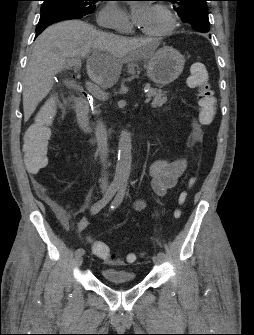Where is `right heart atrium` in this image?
Returning a JSON list of instances; mask_svg holds the SVG:
<instances>
[{
    "instance_id": "right-heart-atrium-1",
    "label": "right heart atrium",
    "mask_w": 254,
    "mask_h": 335,
    "mask_svg": "<svg viewBox=\"0 0 254 335\" xmlns=\"http://www.w3.org/2000/svg\"><path fill=\"white\" fill-rule=\"evenodd\" d=\"M97 22L105 27L126 32L130 29V23L123 10L115 3H108L100 9Z\"/></svg>"
}]
</instances>
